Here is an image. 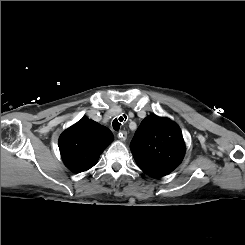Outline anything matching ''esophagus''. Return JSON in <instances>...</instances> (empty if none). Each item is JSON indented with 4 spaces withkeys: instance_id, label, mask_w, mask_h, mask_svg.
<instances>
[{
    "instance_id": "34e87169",
    "label": "esophagus",
    "mask_w": 245,
    "mask_h": 245,
    "mask_svg": "<svg viewBox=\"0 0 245 245\" xmlns=\"http://www.w3.org/2000/svg\"><path fill=\"white\" fill-rule=\"evenodd\" d=\"M118 138L121 140V141H125L127 139V131L123 130V131H120L118 133Z\"/></svg>"
}]
</instances>
